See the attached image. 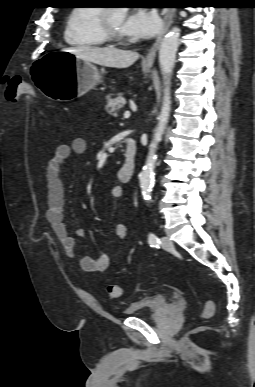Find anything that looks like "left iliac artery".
<instances>
[{"instance_id": "left-iliac-artery-1", "label": "left iliac artery", "mask_w": 255, "mask_h": 387, "mask_svg": "<svg viewBox=\"0 0 255 387\" xmlns=\"http://www.w3.org/2000/svg\"><path fill=\"white\" fill-rule=\"evenodd\" d=\"M148 243L151 247H158L160 244V240L154 233H149Z\"/></svg>"}]
</instances>
